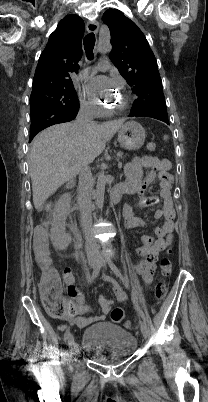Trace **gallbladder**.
Listing matches in <instances>:
<instances>
[{
  "mask_svg": "<svg viewBox=\"0 0 208 402\" xmlns=\"http://www.w3.org/2000/svg\"><path fill=\"white\" fill-rule=\"evenodd\" d=\"M62 188H67V183H62Z\"/></svg>",
  "mask_w": 208,
  "mask_h": 402,
  "instance_id": "obj_1",
  "label": "gallbladder"
}]
</instances>
